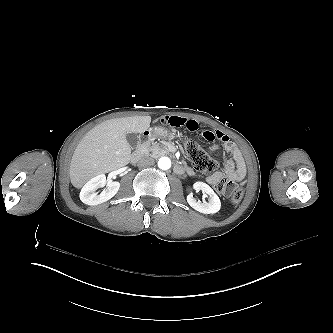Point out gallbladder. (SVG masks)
<instances>
[{"instance_id": "obj_1", "label": "gallbladder", "mask_w": 333, "mask_h": 333, "mask_svg": "<svg viewBox=\"0 0 333 333\" xmlns=\"http://www.w3.org/2000/svg\"><path fill=\"white\" fill-rule=\"evenodd\" d=\"M126 138H127L129 145L131 146V148L135 149L137 147L139 137L136 134L132 133V134H128ZM141 140H143V139L141 138Z\"/></svg>"}]
</instances>
